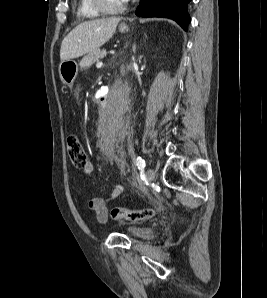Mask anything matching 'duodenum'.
Masks as SVG:
<instances>
[{
    "label": "duodenum",
    "instance_id": "1",
    "mask_svg": "<svg viewBox=\"0 0 267 298\" xmlns=\"http://www.w3.org/2000/svg\"><path fill=\"white\" fill-rule=\"evenodd\" d=\"M111 93L113 91H108L102 98H98V103L100 104H96V112H101V109H108V98Z\"/></svg>",
    "mask_w": 267,
    "mask_h": 298
}]
</instances>
